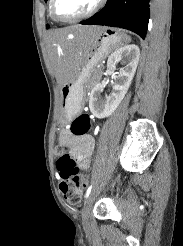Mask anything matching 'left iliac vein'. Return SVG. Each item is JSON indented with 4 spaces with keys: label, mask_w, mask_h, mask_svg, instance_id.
Segmentation results:
<instances>
[{
    "label": "left iliac vein",
    "mask_w": 183,
    "mask_h": 246,
    "mask_svg": "<svg viewBox=\"0 0 183 246\" xmlns=\"http://www.w3.org/2000/svg\"><path fill=\"white\" fill-rule=\"evenodd\" d=\"M96 197V190H93L88 196L87 201L82 209V224L85 230L90 227V212Z\"/></svg>",
    "instance_id": "left-iliac-vein-1"
}]
</instances>
